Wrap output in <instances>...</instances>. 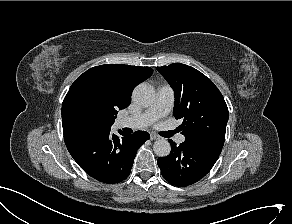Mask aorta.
I'll return each mask as SVG.
<instances>
[{
  "label": "aorta",
  "instance_id": "obj_1",
  "mask_svg": "<svg viewBox=\"0 0 292 224\" xmlns=\"http://www.w3.org/2000/svg\"><path fill=\"white\" fill-rule=\"evenodd\" d=\"M154 90L146 85L139 84L132 93L133 101L141 107H149L154 102ZM155 154L159 157H165L170 154L171 146L166 139H159L153 145Z\"/></svg>",
  "mask_w": 292,
  "mask_h": 224
}]
</instances>
